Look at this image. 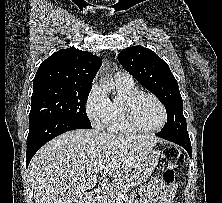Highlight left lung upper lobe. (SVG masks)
Here are the masks:
<instances>
[{
  "label": "left lung upper lobe",
  "mask_w": 222,
  "mask_h": 203,
  "mask_svg": "<svg viewBox=\"0 0 222 203\" xmlns=\"http://www.w3.org/2000/svg\"><path fill=\"white\" fill-rule=\"evenodd\" d=\"M118 60L126 71L164 104L167 124L160 133L188 134L179 86L168 64L152 50L142 46L122 50Z\"/></svg>",
  "instance_id": "5c2ea615"
}]
</instances>
